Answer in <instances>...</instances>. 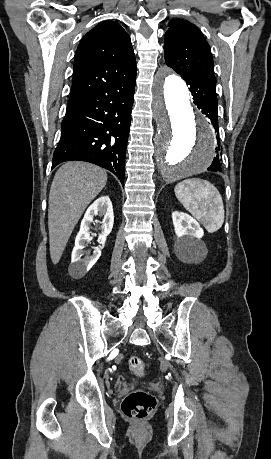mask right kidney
Returning <instances> with one entry per match:
<instances>
[{
	"instance_id": "obj_1",
	"label": "right kidney",
	"mask_w": 271,
	"mask_h": 459,
	"mask_svg": "<svg viewBox=\"0 0 271 459\" xmlns=\"http://www.w3.org/2000/svg\"><path fill=\"white\" fill-rule=\"evenodd\" d=\"M94 216H104L102 226H96V228L101 229L97 241L102 243L101 247H95L92 255H85L83 247L86 245V241L90 239V229L92 228L91 224H95ZM114 214L113 206L110 198L108 196H101L98 200H95L91 206H89L80 226V231H78L75 237V245L73 247L71 255V263L68 267V271L72 277H83L90 267L96 263L101 255V249L104 247L107 235H109L111 229L113 228ZM97 224V222H96ZM84 255V257H82Z\"/></svg>"
}]
</instances>
